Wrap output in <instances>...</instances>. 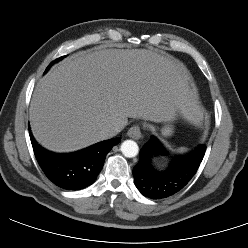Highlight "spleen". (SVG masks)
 <instances>
[{
  "label": "spleen",
  "instance_id": "spleen-1",
  "mask_svg": "<svg viewBox=\"0 0 248 248\" xmlns=\"http://www.w3.org/2000/svg\"><path fill=\"white\" fill-rule=\"evenodd\" d=\"M178 150H179L180 152H184V151L186 150V148L181 147V148H179Z\"/></svg>",
  "mask_w": 248,
  "mask_h": 248
}]
</instances>
